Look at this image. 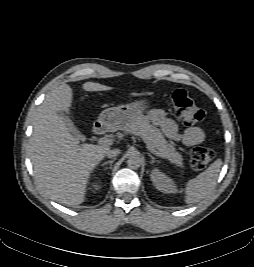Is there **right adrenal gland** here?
Masks as SVG:
<instances>
[{
  "label": "right adrenal gland",
  "instance_id": "1",
  "mask_svg": "<svg viewBox=\"0 0 254 267\" xmlns=\"http://www.w3.org/2000/svg\"><path fill=\"white\" fill-rule=\"evenodd\" d=\"M115 160H116V158H113L112 160L106 161V162H104V163L102 164V166H105V165H107V164H110V168H111L112 163H113Z\"/></svg>",
  "mask_w": 254,
  "mask_h": 267
}]
</instances>
